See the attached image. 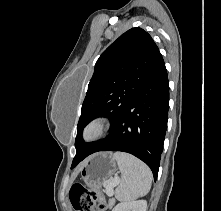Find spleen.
I'll return each instance as SVG.
<instances>
[{"mask_svg": "<svg viewBox=\"0 0 221 211\" xmlns=\"http://www.w3.org/2000/svg\"><path fill=\"white\" fill-rule=\"evenodd\" d=\"M113 158L122 175L115 197L119 201H130L145 196L150 191L153 179L149 167L127 153L116 152Z\"/></svg>", "mask_w": 221, "mask_h": 211, "instance_id": "obj_1", "label": "spleen"}]
</instances>
